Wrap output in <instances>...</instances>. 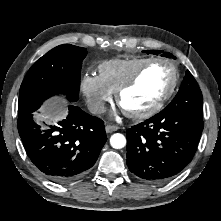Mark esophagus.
<instances>
[{"label":"esophagus","mask_w":221,"mask_h":221,"mask_svg":"<svg viewBox=\"0 0 221 221\" xmlns=\"http://www.w3.org/2000/svg\"><path fill=\"white\" fill-rule=\"evenodd\" d=\"M118 129H119V127L116 126V125H107L105 127V130H106L107 133H111L113 131H117Z\"/></svg>","instance_id":"1"}]
</instances>
